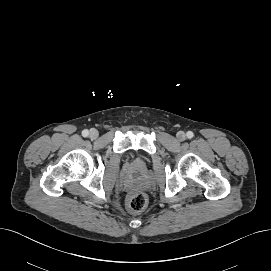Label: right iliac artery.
I'll use <instances>...</instances> for the list:
<instances>
[{
    "label": "right iliac artery",
    "instance_id": "82829eb1",
    "mask_svg": "<svg viewBox=\"0 0 271 271\" xmlns=\"http://www.w3.org/2000/svg\"><path fill=\"white\" fill-rule=\"evenodd\" d=\"M82 135H83L84 137H87V136L89 135V131H88V130H83V131H82Z\"/></svg>",
    "mask_w": 271,
    "mask_h": 271
}]
</instances>
